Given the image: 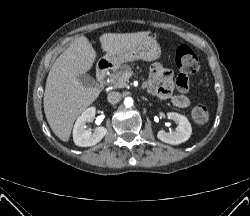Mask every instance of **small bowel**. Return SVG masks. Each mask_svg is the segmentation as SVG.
I'll use <instances>...</instances> for the list:
<instances>
[{"label":"small bowel","instance_id":"c3829d8e","mask_svg":"<svg viewBox=\"0 0 250 216\" xmlns=\"http://www.w3.org/2000/svg\"><path fill=\"white\" fill-rule=\"evenodd\" d=\"M147 87L159 99H170L173 105L179 108H186L190 105V100L187 96L189 90L187 77L179 75L177 78H174L172 71L161 64H154L151 67ZM176 89L179 91V94H175Z\"/></svg>","mask_w":250,"mask_h":216}]
</instances>
